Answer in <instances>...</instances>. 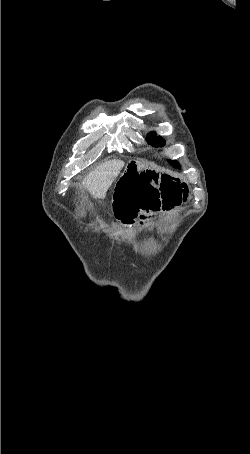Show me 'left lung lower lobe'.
Here are the masks:
<instances>
[{
	"instance_id": "0a47b994",
	"label": "left lung lower lobe",
	"mask_w": 250,
	"mask_h": 454,
	"mask_svg": "<svg viewBox=\"0 0 250 454\" xmlns=\"http://www.w3.org/2000/svg\"><path fill=\"white\" fill-rule=\"evenodd\" d=\"M170 164L175 167V168H180V165L178 164V162L174 161V162H170Z\"/></svg>"
}]
</instances>
